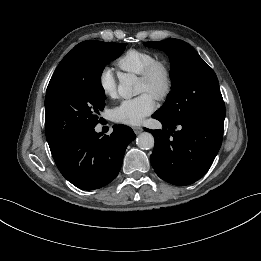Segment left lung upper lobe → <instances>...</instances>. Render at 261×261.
Listing matches in <instances>:
<instances>
[{
  "label": "left lung upper lobe",
  "instance_id": "obj_1",
  "mask_svg": "<svg viewBox=\"0 0 261 261\" xmlns=\"http://www.w3.org/2000/svg\"><path fill=\"white\" fill-rule=\"evenodd\" d=\"M144 45L165 51L171 63V92L155 115L180 121L201 115L225 114L216 74L193 47L177 39Z\"/></svg>",
  "mask_w": 261,
  "mask_h": 261
}]
</instances>
